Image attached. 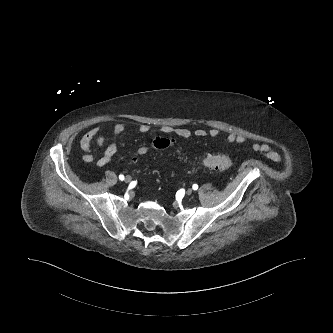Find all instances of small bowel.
<instances>
[{"instance_id": "c3829d8e", "label": "small bowel", "mask_w": 333, "mask_h": 333, "mask_svg": "<svg viewBox=\"0 0 333 333\" xmlns=\"http://www.w3.org/2000/svg\"><path fill=\"white\" fill-rule=\"evenodd\" d=\"M127 123H118L114 126L111 134V140L107 145L103 155L97 160L96 164L98 167L106 166L114 157L118 150V140L120 135L128 128ZM150 127L147 124H141L138 126L137 131L140 134H145L149 131ZM161 132L165 136H176L181 139H189L192 136H196L199 138H217L220 135V131L217 128H211L209 130L197 128L191 130L186 127H171V126H164L161 129ZM105 129L103 124H98L90 129L81 139V148L84 151L82 155V160L84 162H91L93 161L94 157L91 151V142L99 137L102 138L105 135ZM166 137H157L156 139H161ZM171 140V139H170ZM225 141L228 144H243L246 141V137L241 134L237 133H229L225 137ZM253 149L255 151L264 153L267 157H269L273 161H279L281 156L278 152H276L270 145L268 144H261V143H254Z\"/></svg>"}]
</instances>
